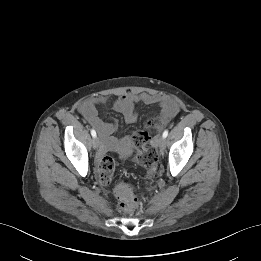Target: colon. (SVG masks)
<instances>
[{
  "mask_svg": "<svg viewBox=\"0 0 261 261\" xmlns=\"http://www.w3.org/2000/svg\"><path fill=\"white\" fill-rule=\"evenodd\" d=\"M161 124L158 117L150 119L144 130L136 131L131 135V141L136 149V158L146 171L144 183L150 186L157 176L158 156L156 149L150 143L149 131ZM115 170V161L109 156H103L99 164V177L103 185L109 183ZM106 181V184L103 183ZM116 195L120 201L121 208L125 212H131L137 207V199L132 188L126 182H121L116 187Z\"/></svg>",
  "mask_w": 261,
  "mask_h": 261,
  "instance_id": "1",
  "label": "colon"
}]
</instances>
